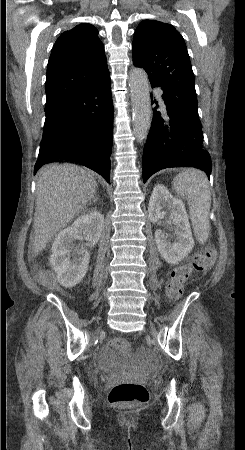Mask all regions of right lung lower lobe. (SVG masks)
<instances>
[{
	"label": "right lung lower lobe",
	"instance_id": "obj_1",
	"mask_svg": "<svg viewBox=\"0 0 245 450\" xmlns=\"http://www.w3.org/2000/svg\"><path fill=\"white\" fill-rule=\"evenodd\" d=\"M34 174L51 162L84 165L110 183L113 103L109 71L59 104L45 110Z\"/></svg>",
	"mask_w": 245,
	"mask_h": 450
}]
</instances>
